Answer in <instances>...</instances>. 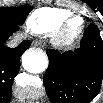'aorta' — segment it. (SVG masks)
Listing matches in <instances>:
<instances>
[{
    "label": "aorta",
    "instance_id": "1",
    "mask_svg": "<svg viewBox=\"0 0 103 103\" xmlns=\"http://www.w3.org/2000/svg\"><path fill=\"white\" fill-rule=\"evenodd\" d=\"M22 65L30 73H41L48 66V58L43 53L27 51L22 56Z\"/></svg>",
    "mask_w": 103,
    "mask_h": 103
}]
</instances>
